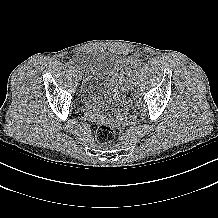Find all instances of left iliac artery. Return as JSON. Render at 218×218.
Masks as SVG:
<instances>
[{"mask_svg": "<svg viewBox=\"0 0 218 218\" xmlns=\"http://www.w3.org/2000/svg\"><path fill=\"white\" fill-rule=\"evenodd\" d=\"M143 65L140 63L139 65H137L129 74V81L131 82L132 80H134L135 77V72H137ZM130 84V83H129ZM128 84V85H129Z\"/></svg>", "mask_w": 218, "mask_h": 218, "instance_id": "left-iliac-artery-1", "label": "left iliac artery"}]
</instances>
